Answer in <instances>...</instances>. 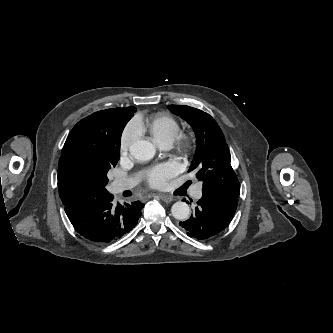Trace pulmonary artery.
Returning a JSON list of instances; mask_svg holds the SVG:
<instances>
[{"instance_id":"e3ab8cb5","label":"pulmonary artery","mask_w":333,"mask_h":333,"mask_svg":"<svg viewBox=\"0 0 333 333\" xmlns=\"http://www.w3.org/2000/svg\"><path fill=\"white\" fill-rule=\"evenodd\" d=\"M171 143H164L161 144L160 146L163 149H169L171 148ZM136 184V180L134 178H128V179H115L112 183H111V189L113 193H121L125 190H128L130 188H132L134 185ZM201 185L197 184L194 188V197L196 199L201 198Z\"/></svg>"}]
</instances>
